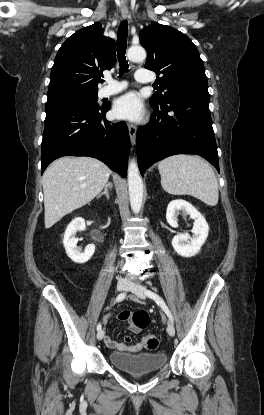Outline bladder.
Here are the masks:
<instances>
[{
	"label": "bladder",
	"mask_w": 264,
	"mask_h": 415,
	"mask_svg": "<svg viewBox=\"0 0 264 415\" xmlns=\"http://www.w3.org/2000/svg\"><path fill=\"white\" fill-rule=\"evenodd\" d=\"M110 363L117 369L139 375L161 369L167 362L165 352L115 351L109 354Z\"/></svg>",
	"instance_id": "bladder-1"
}]
</instances>
